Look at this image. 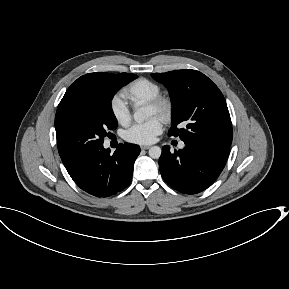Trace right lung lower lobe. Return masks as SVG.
Segmentation results:
<instances>
[{
	"mask_svg": "<svg viewBox=\"0 0 289 289\" xmlns=\"http://www.w3.org/2000/svg\"><path fill=\"white\" fill-rule=\"evenodd\" d=\"M139 153V146L124 143L110 155V149L101 145L65 167L82 190L96 197H108L130 184Z\"/></svg>",
	"mask_w": 289,
	"mask_h": 289,
	"instance_id": "right-lung-lower-lobe-1",
	"label": "right lung lower lobe"
}]
</instances>
